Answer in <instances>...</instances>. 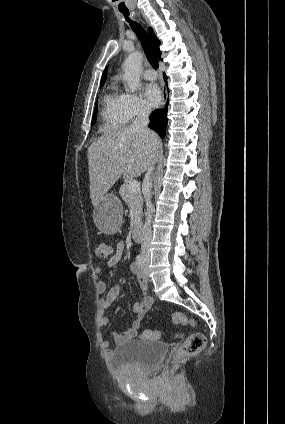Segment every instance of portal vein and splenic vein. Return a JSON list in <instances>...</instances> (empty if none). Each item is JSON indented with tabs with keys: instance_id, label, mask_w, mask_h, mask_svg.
Here are the masks:
<instances>
[{
	"instance_id": "18ae733b",
	"label": "portal vein and splenic vein",
	"mask_w": 285,
	"mask_h": 424,
	"mask_svg": "<svg viewBox=\"0 0 285 424\" xmlns=\"http://www.w3.org/2000/svg\"><path fill=\"white\" fill-rule=\"evenodd\" d=\"M128 189L131 193L137 192L140 190V184L137 180H131L128 183Z\"/></svg>"
}]
</instances>
